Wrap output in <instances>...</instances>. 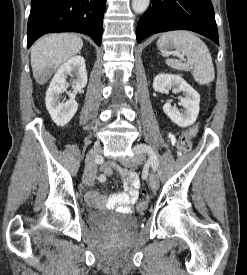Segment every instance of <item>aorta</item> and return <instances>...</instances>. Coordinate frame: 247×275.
<instances>
[{
	"label": "aorta",
	"instance_id": "1",
	"mask_svg": "<svg viewBox=\"0 0 247 275\" xmlns=\"http://www.w3.org/2000/svg\"><path fill=\"white\" fill-rule=\"evenodd\" d=\"M150 4V0H132V9L135 13H144Z\"/></svg>",
	"mask_w": 247,
	"mask_h": 275
}]
</instances>
